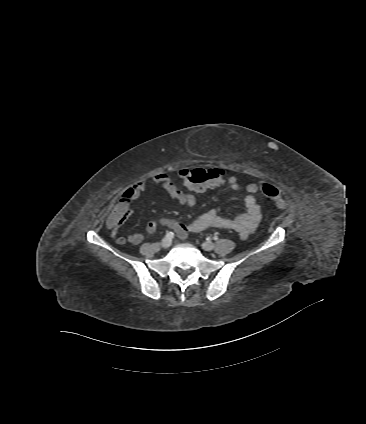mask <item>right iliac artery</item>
<instances>
[{"label":"right iliac artery","instance_id":"obj_1","mask_svg":"<svg viewBox=\"0 0 366 424\" xmlns=\"http://www.w3.org/2000/svg\"><path fill=\"white\" fill-rule=\"evenodd\" d=\"M174 236L173 232H167L166 237L172 238Z\"/></svg>","mask_w":366,"mask_h":424}]
</instances>
